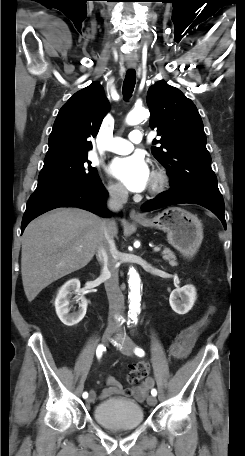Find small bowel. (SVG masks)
Listing matches in <instances>:
<instances>
[{
	"instance_id": "c3829d8e",
	"label": "small bowel",
	"mask_w": 245,
	"mask_h": 456,
	"mask_svg": "<svg viewBox=\"0 0 245 456\" xmlns=\"http://www.w3.org/2000/svg\"><path fill=\"white\" fill-rule=\"evenodd\" d=\"M212 311L213 309L210 308L206 315L180 331L177 339L169 347V353L173 358L183 359L190 354L200 331L207 324L208 314ZM106 384L107 388L102 391L100 395L101 399L117 395L130 396L138 401H142L149 389L153 387L154 380L152 378H148L141 385H136L132 388H124L114 377L108 376L106 378Z\"/></svg>"
}]
</instances>
